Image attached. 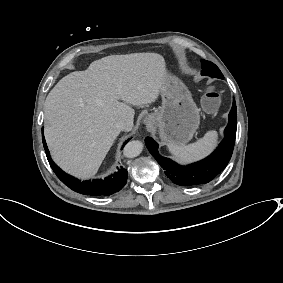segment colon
<instances>
[{
  "label": "colon",
  "instance_id": "5ec220e1",
  "mask_svg": "<svg viewBox=\"0 0 283 283\" xmlns=\"http://www.w3.org/2000/svg\"><path fill=\"white\" fill-rule=\"evenodd\" d=\"M221 102L220 94L213 88H207L202 97V106L209 113L215 112Z\"/></svg>",
  "mask_w": 283,
  "mask_h": 283
}]
</instances>
